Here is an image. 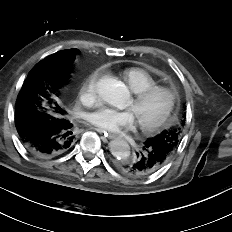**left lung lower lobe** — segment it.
<instances>
[{
  "label": "left lung lower lobe",
  "mask_w": 232,
  "mask_h": 232,
  "mask_svg": "<svg viewBox=\"0 0 232 232\" xmlns=\"http://www.w3.org/2000/svg\"><path fill=\"white\" fill-rule=\"evenodd\" d=\"M171 152L164 146L146 140L130 162L120 164V169L127 175L142 177L161 169L171 158Z\"/></svg>",
  "instance_id": "1"
}]
</instances>
